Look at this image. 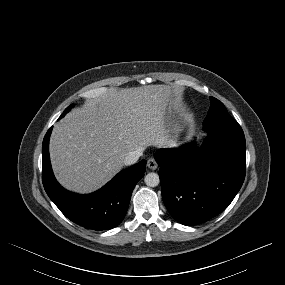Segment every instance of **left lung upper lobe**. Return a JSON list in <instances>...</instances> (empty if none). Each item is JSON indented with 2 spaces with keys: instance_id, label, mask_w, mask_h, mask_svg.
Wrapping results in <instances>:
<instances>
[{
  "instance_id": "1",
  "label": "left lung upper lobe",
  "mask_w": 285,
  "mask_h": 285,
  "mask_svg": "<svg viewBox=\"0 0 285 285\" xmlns=\"http://www.w3.org/2000/svg\"><path fill=\"white\" fill-rule=\"evenodd\" d=\"M211 106L203 122L204 130H232L241 129L240 125L228 114L224 104L214 97H210Z\"/></svg>"
}]
</instances>
